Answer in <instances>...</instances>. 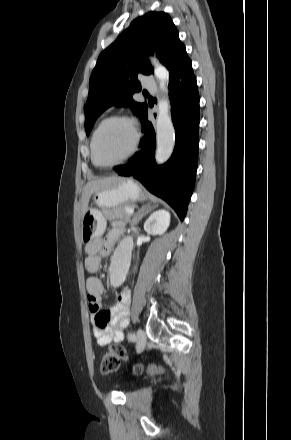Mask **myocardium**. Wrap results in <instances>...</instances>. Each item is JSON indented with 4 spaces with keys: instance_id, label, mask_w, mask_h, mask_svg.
<instances>
[{
    "instance_id": "1",
    "label": "myocardium",
    "mask_w": 291,
    "mask_h": 440,
    "mask_svg": "<svg viewBox=\"0 0 291 440\" xmlns=\"http://www.w3.org/2000/svg\"><path fill=\"white\" fill-rule=\"evenodd\" d=\"M113 121H122L129 126V128L132 132V135H133L132 146H131L129 152L127 153V155L124 158H122L121 160L116 161V162H111V163H100L97 161L96 155H95L96 138H97V135H98L99 131L101 130V128L104 125H106L107 123H110ZM139 140H140V134L137 130L135 122L130 117L123 115V114H114V115L108 116L99 123V125L97 126V128L93 132L92 140H91V159H92V162L94 165H96L98 167H107V168H113V167L122 165V164L126 163L136 153V151L138 149V145H139Z\"/></svg>"
}]
</instances>
